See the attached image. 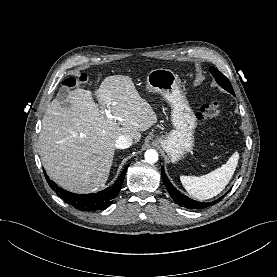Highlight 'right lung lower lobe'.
Segmentation results:
<instances>
[{
  "mask_svg": "<svg viewBox=\"0 0 277 277\" xmlns=\"http://www.w3.org/2000/svg\"><path fill=\"white\" fill-rule=\"evenodd\" d=\"M128 166L129 164L124 168L120 177L111 187H108L105 190H102L98 193L87 194V195L70 193L58 187L53 181H50L49 177L46 175L45 170H44V175L52 190H54L56 194L60 198H62L66 203L83 211H96V210H103L106 207H108L113 202V199L118 195L119 190L122 187Z\"/></svg>",
  "mask_w": 277,
  "mask_h": 277,
  "instance_id": "obj_1",
  "label": "right lung lower lobe"
}]
</instances>
